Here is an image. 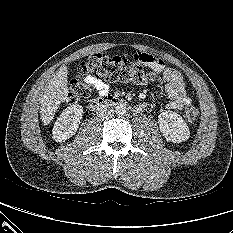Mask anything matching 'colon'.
I'll use <instances>...</instances> for the list:
<instances>
[{
  "instance_id": "obj_1",
  "label": "colon",
  "mask_w": 233,
  "mask_h": 233,
  "mask_svg": "<svg viewBox=\"0 0 233 233\" xmlns=\"http://www.w3.org/2000/svg\"><path fill=\"white\" fill-rule=\"evenodd\" d=\"M141 58L135 56L128 60L119 56H109L105 53H95L83 62L78 73L80 76H93L104 78L110 82L142 84L154 76L144 68ZM91 86L87 82L74 78L70 81L68 101L76 103L89 97ZM187 122L195 123L199 117L198 109L188 104L184 110Z\"/></svg>"
}]
</instances>
